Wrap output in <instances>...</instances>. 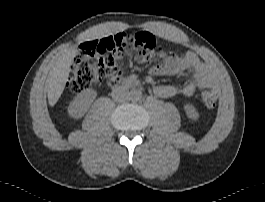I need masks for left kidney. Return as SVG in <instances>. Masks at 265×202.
I'll return each instance as SVG.
<instances>
[{"mask_svg": "<svg viewBox=\"0 0 265 202\" xmlns=\"http://www.w3.org/2000/svg\"><path fill=\"white\" fill-rule=\"evenodd\" d=\"M184 110L186 112L187 117L191 120H197L199 118V113L194 107V105L187 103L184 105Z\"/></svg>", "mask_w": 265, "mask_h": 202, "instance_id": "1", "label": "left kidney"}]
</instances>
